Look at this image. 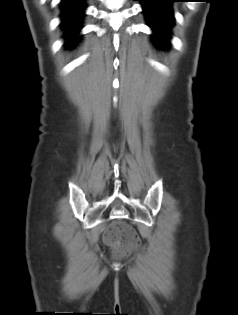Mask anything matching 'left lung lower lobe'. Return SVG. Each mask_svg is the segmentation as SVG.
I'll list each match as a JSON object with an SVG mask.
<instances>
[{
  "mask_svg": "<svg viewBox=\"0 0 238 315\" xmlns=\"http://www.w3.org/2000/svg\"><path fill=\"white\" fill-rule=\"evenodd\" d=\"M141 1L148 26L153 30L152 41L158 48L167 49L171 29L174 26L172 3L178 0H134Z\"/></svg>",
  "mask_w": 238,
  "mask_h": 315,
  "instance_id": "obj_1",
  "label": "left lung lower lobe"
}]
</instances>
